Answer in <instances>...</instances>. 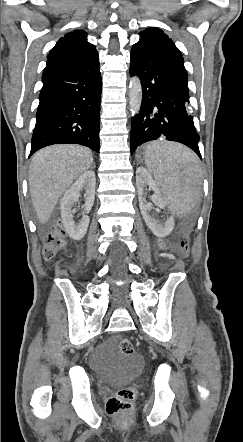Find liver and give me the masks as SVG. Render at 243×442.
<instances>
[{
	"mask_svg": "<svg viewBox=\"0 0 243 442\" xmlns=\"http://www.w3.org/2000/svg\"><path fill=\"white\" fill-rule=\"evenodd\" d=\"M93 163L90 149L80 145H53L32 157L29 191L37 218L45 224L59 198Z\"/></svg>",
	"mask_w": 243,
	"mask_h": 442,
	"instance_id": "1",
	"label": "liver"
}]
</instances>
